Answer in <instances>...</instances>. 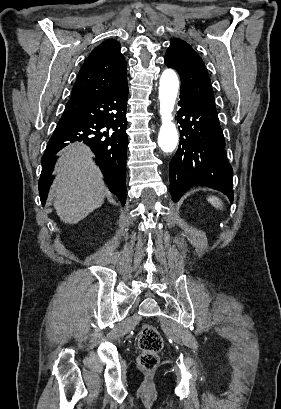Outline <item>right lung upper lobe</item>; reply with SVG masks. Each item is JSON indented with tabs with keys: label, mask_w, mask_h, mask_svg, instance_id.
I'll return each instance as SVG.
<instances>
[{
	"label": "right lung upper lobe",
	"mask_w": 281,
	"mask_h": 409,
	"mask_svg": "<svg viewBox=\"0 0 281 409\" xmlns=\"http://www.w3.org/2000/svg\"><path fill=\"white\" fill-rule=\"evenodd\" d=\"M118 41L109 39L96 47L81 67L70 101L102 96L127 82L126 62Z\"/></svg>",
	"instance_id": "obj_1"
}]
</instances>
